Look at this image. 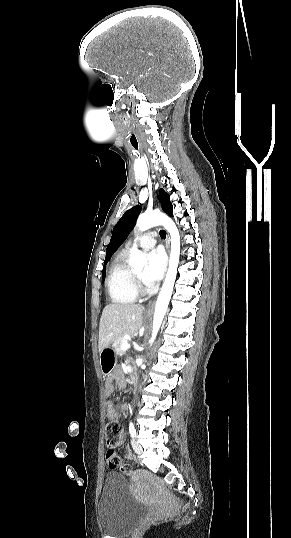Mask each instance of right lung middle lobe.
<instances>
[{"instance_id": "dd1d6c3e", "label": "right lung middle lobe", "mask_w": 291, "mask_h": 538, "mask_svg": "<svg viewBox=\"0 0 291 538\" xmlns=\"http://www.w3.org/2000/svg\"><path fill=\"white\" fill-rule=\"evenodd\" d=\"M104 264L106 265L107 262H105ZM105 265H104V270H103V273H102V280H104V279H105V276H106V271H105V267H106V266H105Z\"/></svg>"}]
</instances>
